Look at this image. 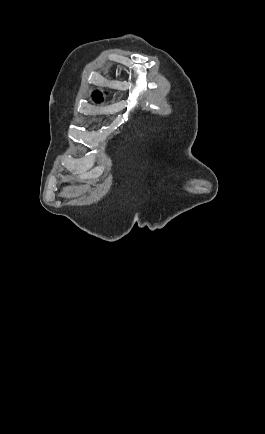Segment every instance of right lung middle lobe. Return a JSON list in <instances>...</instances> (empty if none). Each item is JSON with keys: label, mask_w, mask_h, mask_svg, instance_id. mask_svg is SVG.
Returning a JSON list of instances; mask_svg holds the SVG:
<instances>
[{"label": "right lung middle lobe", "mask_w": 265, "mask_h": 434, "mask_svg": "<svg viewBox=\"0 0 265 434\" xmlns=\"http://www.w3.org/2000/svg\"><path fill=\"white\" fill-rule=\"evenodd\" d=\"M96 102L102 101L101 98L93 97Z\"/></svg>", "instance_id": "1"}]
</instances>
